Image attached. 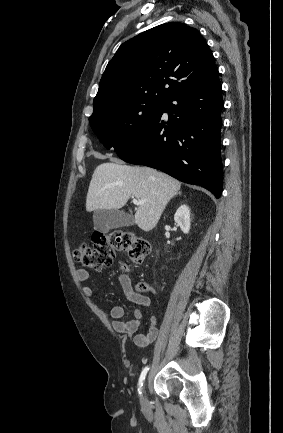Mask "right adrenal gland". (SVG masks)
<instances>
[{
	"label": "right adrenal gland",
	"mask_w": 283,
	"mask_h": 433,
	"mask_svg": "<svg viewBox=\"0 0 283 433\" xmlns=\"http://www.w3.org/2000/svg\"><path fill=\"white\" fill-rule=\"evenodd\" d=\"M177 194H181V190H179V192H177Z\"/></svg>",
	"instance_id": "obj_1"
}]
</instances>
